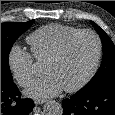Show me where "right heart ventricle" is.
I'll return each mask as SVG.
<instances>
[{
	"label": "right heart ventricle",
	"instance_id": "obj_1",
	"mask_svg": "<svg viewBox=\"0 0 115 115\" xmlns=\"http://www.w3.org/2000/svg\"><path fill=\"white\" fill-rule=\"evenodd\" d=\"M76 27L62 24L44 25L27 37L33 57L46 61L70 35L80 31Z\"/></svg>",
	"mask_w": 115,
	"mask_h": 115
}]
</instances>
